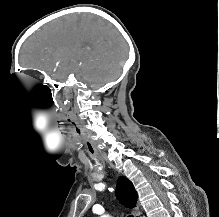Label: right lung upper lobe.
<instances>
[{
    "instance_id": "right-lung-upper-lobe-1",
    "label": "right lung upper lobe",
    "mask_w": 219,
    "mask_h": 217,
    "mask_svg": "<svg viewBox=\"0 0 219 217\" xmlns=\"http://www.w3.org/2000/svg\"><path fill=\"white\" fill-rule=\"evenodd\" d=\"M117 197L128 208L136 206L137 192L130 180L120 177L117 183Z\"/></svg>"
}]
</instances>
